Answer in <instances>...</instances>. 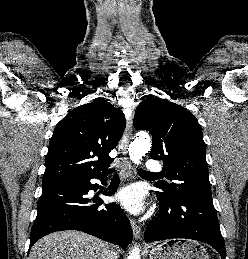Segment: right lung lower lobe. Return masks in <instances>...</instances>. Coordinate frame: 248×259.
<instances>
[{"label":"right lung lower lobe","mask_w":248,"mask_h":259,"mask_svg":"<svg viewBox=\"0 0 248 259\" xmlns=\"http://www.w3.org/2000/svg\"><path fill=\"white\" fill-rule=\"evenodd\" d=\"M107 175L108 171H105L87 178L43 186L30 247L41 237L61 230L83 231L122 248L127 247L132 240V230L119 205L111 203L101 207V199L97 204H90L91 200L86 197L89 190H96L90 180L105 181ZM118 183L116 175L103 194L113 195ZM96 201L93 199V202Z\"/></svg>","instance_id":"1"}]
</instances>
